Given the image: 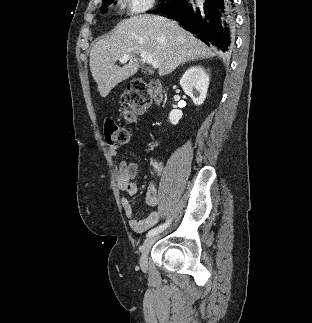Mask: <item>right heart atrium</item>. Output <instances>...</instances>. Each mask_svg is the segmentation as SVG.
I'll use <instances>...</instances> for the list:
<instances>
[{
    "label": "right heart atrium",
    "instance_id": "right-heart-atrium-1",
    "mask_svg": "<svg viewBox=\"0 0 312 323\" xmlns=\"http://www.w3.org/2000/svg\"><path fill=\"white\" fill-rule=\"evenodd\" d=\"M117 4L126 5L127 13H148L154 5H159V0H117Z\"/></svg>",
    "mask_w": 312,
    "mask_h": 323
}]
</instances>
